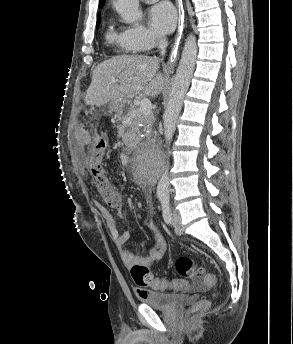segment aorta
<instances>
[{
  "label": "aorta",
  "instance_id": "1",
  "mask_svg": "<svg viewBox=\"0 0 293 344\" xmlns=\"http://www.w3.org/2000/svg\"><path fill=\"white\" fill-rule=\"evenodd\" d=\"M114 6L125 23H134L142 17V12L139 9V0H116ZM197 52L196 37L190 34L186 38L175 81L163 114L164 137L166 143H170L173 138L177 119L182 109L183 99L193 76ZM168 166L169 162L167 161V168L157 184V195L159 197H166L169 194Z\"/></svg>",
  "mask_w": 293,
  "mask_h": 344
}]
</instances>
